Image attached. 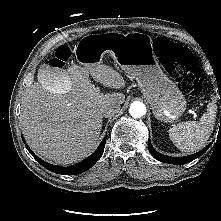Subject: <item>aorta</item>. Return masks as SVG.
Masks as SVG:
<instances>
[{
    "mask_svg": "<svg viewBox=\"0 0 221 221\" xmlns=\"http://www.w3.org/2000/svg\"><path fill=\"white\" fill-rule=\"evenodd\" d=\"M129 113L133 118H140L146 114V106L140 101H135L130 105Z\"/></svg>",
    "mask_w": 221,
    "mask_h": 221,
    "instance_id": "obj_1",
    "label": "aorta"
}]
</instances>
